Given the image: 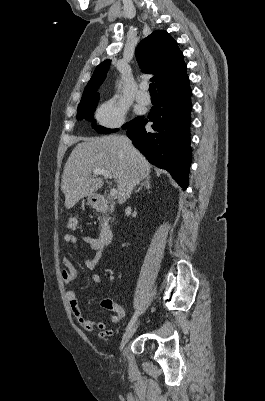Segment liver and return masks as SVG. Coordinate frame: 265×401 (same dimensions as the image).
Segmentation results:
<instances>
[{"mask_svg": "<svg viewBox=\"0 0 265 401\" xmlns=\"http://www.w3.org/2000/svg\"><path fill=\"white\" fill-rule=\"evenodd\" d=\"M63 170L62 190L66 209H72L80 198L92 196L103 186L102 176H94V168L109 170L117 182L118 203L126 201L125 188L131 178L142 180L149 176L151 164L125 136H80Z\"/></svg>", "mask_w": 265, "mask_h": 401, "instance_id": "obj_1", "label": "liver"}]
</instances>
